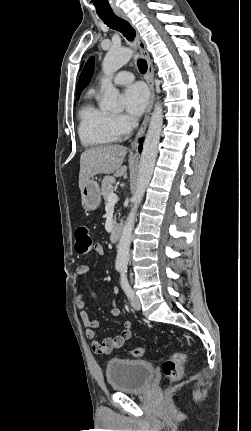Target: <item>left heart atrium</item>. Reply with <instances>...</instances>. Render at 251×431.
Instances as JSON below:
<instances>
[{
  "instance_id": "1",
  "label": "left heart atrium",
  "mask_w": 251,
  "mask_h": 431,
  "mask_svg": "<svg viewBox=\"0 0 251 431\" xmlns=\"http://www.w3.org/2000/svg\"><path fill=\"white\" fill-rule=\"evenodd\" d=\"M148 101V90L144 84L139 82L127 86L122 95L124 108L133 118H137L142 114Z\"/></svg>"
}]
</instances>
